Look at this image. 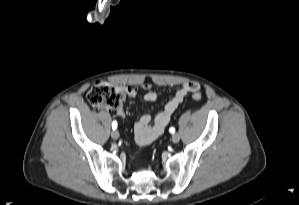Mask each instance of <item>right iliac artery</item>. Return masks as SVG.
<instances>
[{
  "label": "right iliac artery",
  "mask_w": 299,
  "mask_h": 205,
  "mask_svg": "<svg viewBox=\"0 0 299 205\" xmlns=\"http://www.w3.org/2000/svg\"><path fill=\"white\" fill-rule=\"evenodd\" d=\"M116 128H117V122L113 121V123H112V129L115 130Z\"/></svg>",
  "instance_id": "obj_1"
}]
</instances>
